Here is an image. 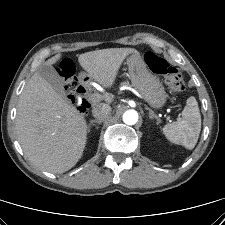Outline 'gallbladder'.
<instances>
[{
  "instance_id": "obj_1",
  "label": "gallbladder",
  "mask_w": 225,
  "mask_h": 225,
  "mask_svg": "<svg viewBox=\"0 0 225 225\" xmlns=\"http://www.w3.org/2000/svg\"><path fill=\"white\" fill-rule=\"evenodd\" d=\"M38 73L54 90L63 93V80L51 65L42 64L38 69Z\"/></svg>"
}]
</instances>
